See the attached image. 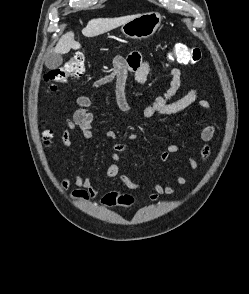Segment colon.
<instances>
[{
	"label": "colon",
	"instance_id": "5ec220e1",
	"mask_svg": "<svg viewBox=\"0 0 249 294\" xmlns=\"http://www.w3.org/2000/svg\"><path fill=\"white\" fill-rule=\"evenodd\" d=\"M202 57V51L198 47H190L184 44H177L172 47L170 58L181 64L191 65L197 64ZM115 73L122 72L126 69V60L124 57L115 58L113 60ZM85 73V56L82 52H77L62 66L49 71L44 80L49 85V91L53 92L57 89L58 84L67 82L68 80H78ZM53 133L51 130H45L43 137L46 143H49ZM132 202V197L128 195H121L118 198V203L129 204Z\"/></svg>",
	"mask_w": 249,
	"mask_h": 294
}]
</instances>
